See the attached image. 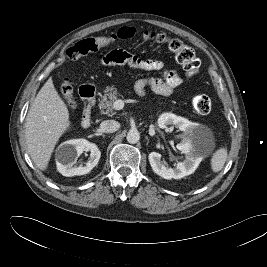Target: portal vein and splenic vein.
<instances>
[{
	"label": "portal vein and splenic vein",
	"mask_w": 267,
	"mask_h": 267,
	"mask_svg": "<svg viewBox=\"0 0 267 267\" xmlns=\"http://www.w3.org/2000/svg\"><path fill=\"white\" fill-rule=\"evenodd\" d=\"M113 107L116 110H121L124 107V101L118 99L113 103Z\"/></svg>",
	"instance_id": "1"
}]
</instances>
